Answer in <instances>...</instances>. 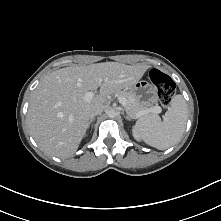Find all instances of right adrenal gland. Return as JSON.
I'll list each match as a JSON object with an SVG mask.
<instances>
[{
	"label": "right adrenal gland",
	"mask_w": 221,
	"mask_h": 221,
	"mask_svg": "<svg viewBox=\"0 0 221 221\" xmlns=\"http://www.w3.org/2000/svg\"><path fill=\"white\" fill-rule=\"evenodd\" d=\"M94 121V117L93 118H90V121L88 123V128L90 127L91 123Z\"/></svg>",
	"instance_id": "1"
}]
</instances>
